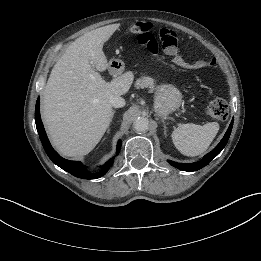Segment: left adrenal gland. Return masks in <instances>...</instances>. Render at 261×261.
<instances>
[{
    "label": "left adrenal gland",
    "mask_w": 261,
    "mask_h": 261,
    "mask_svg": "<svg viewBox=\"0 0 261 261\" xmlns=\"http://www.w3.org/2000/svg\"><path fill=\"white\" fill-rule=\"evenodd\" d=\"M164 123V122H163ZM164 132L166 133V125H165V123H164Z\"/></svg>",
    "instance_id": "left-adrenal-gland-1"
}]
</instances>
